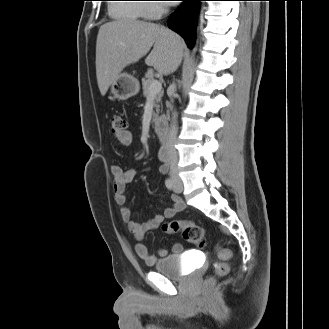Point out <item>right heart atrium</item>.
Listing matches in <instances>:
<instances>
[{
	"mask_svg": "<svg viewBox=\"0 0 329 329\" xmlns=\"http://www.w3.org/2000/svg\"><path fill=\"white\" fill-rule=\"evenodd\" d=\"M150 2H155L148 5L147 8V18L155 19L158 18L162 13L167 10L165 1L163 0H150Z\"/></svg>",
	"mask_w": 329,
	"mask_h": 329,
	"instance_id": "right-heart-atrium-1",
	"label": "right heart atrium"
}]
</instances>
